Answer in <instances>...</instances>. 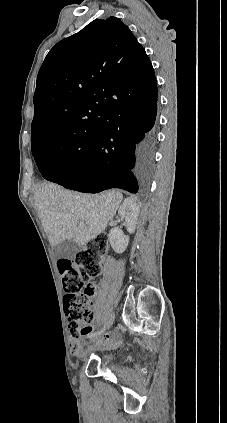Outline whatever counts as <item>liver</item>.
<instances>
[{"label": "liver", "mask_w": 227, "mask_h": 423, "mask_svg": "<svg viewBox=\"0 0 227 423\" xmlns=\"http://www.w3.org/2000/svg\"><path fill=\"white\" fill-rule=\"evenodd\" d=\"M121 192L79 194L57 184H41L34 194V206L39 213L50 245L72 239L80 247L103 233L122 202Z\"/></svg>", "instance_id": "obj_1"}]
</instances>
